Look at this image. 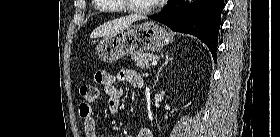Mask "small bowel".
Masks as SVG:
<instances>
[{"instance_id":"obj_1","label":"small bowel","mask_w":280,"mask_h":137,"mask_svg":"<svg viewBox=\"0 0 280 137\" xmlns=\"http://www.w3.org/2000/svg\"><path fill=\"white\" fill-rule=\"evenodd\" d=\"M95 81L103 87L104 94L107 96L108 109L114 115L120 113L123 98V88L117 86V84L129 83L137 90L144 88V83L139 74L135 70L128 68L120 69L115 74L105 71L98 72L95 75ZM80 115L84 119L86 137H97V124L92 106L81 104ZM138 137H152V131L149 128H142Z\"/></svg>"}]
</instances>
